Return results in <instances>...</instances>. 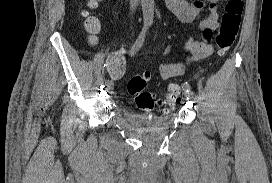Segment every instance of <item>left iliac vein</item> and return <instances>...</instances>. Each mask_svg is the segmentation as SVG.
<instances>
[{
  "instance_id": "1",
  "label": "left iliac vein",
  "mask_w": 272,
  "mask_h": 183,
  "mask_svg": "<svg viewBox=\"0 0 272 183\" xmlns=\"http://www.w3.org/2000/svg\"><path fill=\"white\" fill-rule=\"evenodd\" d=\"M184 95L189 97V98H192L193 97V93H188L186 91H184Z\"/></svg>"
}]
</instances>
